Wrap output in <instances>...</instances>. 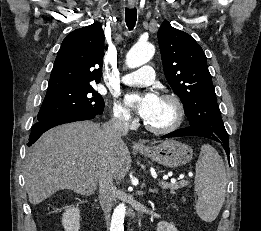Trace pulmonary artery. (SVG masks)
Here are the masks:
<instances>
[{"label":"pulmonary artery","mask_w":261,"mask_h":231,"mask_svg":"<svg viewBox=\"0 0 261 231\" xmlns=\"http://www.w3.org/2000/svg\"><path fill=\"white\" fill-rule=\"evenodd\" d=\"M155 71L152 66H142L139 69L126 74L123 82L129 85H148L153 82Z\"/></svg>","instance_id":"e3ab8cb5"}]
</instances>
